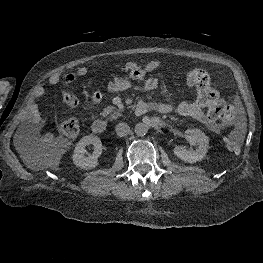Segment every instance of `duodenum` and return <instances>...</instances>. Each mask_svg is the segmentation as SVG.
I'll use <instances>...</instances> for the list:
<instances>
[{
  "mask_svg": "<svg viewBox=\"0 0 263 263\" xmlns=\"http://www.w3.org/2000/svg\"><path fill=\"white\" fill-rule=\"evenodd\" d=\"M148 110H149V106L144 102H140L137 104L134 113L136 116H141L145 114ZM91 127L94 133L103 134L107 129V124L102 119H96L93 121Z\"/></svg>",
  "mask_w": 263,
  "mask_h": 263,
  "instance_id": "obj_1",
  "label": "duodenum"
}]
</instances>
